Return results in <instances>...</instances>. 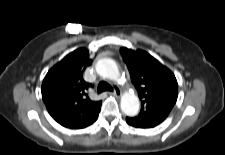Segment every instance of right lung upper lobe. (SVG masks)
<instances>
[{
  "label": "right lung upper lobe",
  "instance_id": "cb5924a9",
  "mask_svg": "<svg viewBox=\"0 0 225 155\" xmlns=\"http://www.w3.org/2000/svg\"><path fill=\"white\" fill-rule=\"evenodd\" d=\"M91 63L88 50L77 49L53 66L43 80L41 92L46 108L66 128H85L98 118L102 102L89 99L86 90L92 85L83 79Z\"/></svg>",
  "mask_w": 225,
  "mask_h": 155
}]
</instances>
